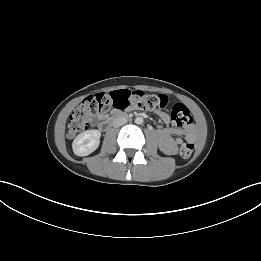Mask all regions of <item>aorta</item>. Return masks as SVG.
Returning a JSON list of instances; mask_svg holds the SVG:
<instances>
[{"mask_svg": "<svg viewBox=\"0 0 261 261\" xmlns=\"http://www.w3.org/2000/svg\"><path fill=\"white\" fill-rule=\"evenodd\" d=\"M135 123H136V124H142V123H143V118H142V117H137V118L135 119Z\"/></svg>", "mask_w": 261, "mask_h": 261, "instance_id": "1", "label": "aorta"}]
</instances>
